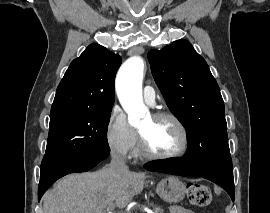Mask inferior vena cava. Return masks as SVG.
<instances>
[{
  "instance_id": "obj_1",
  "label": "inferior vena cava",
  "mask_w": 270,
  "mask_h": 213,
  "mask_svg": "<svg viewBox=\"0 0 270 213\" xmlns=\"http://www.w3.org/2000/svg\"><path fill=\"white\" fill-rule=\"evenodd\" d=\"M109 167L117 173L129 171L127 165L125 164V161L116 154H112V160Z\"/></svg>"
}]
</instances>
